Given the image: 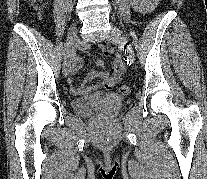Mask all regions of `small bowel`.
Listing matches in <instances>:
<instances>
[{
	"instance_id": "1",
	"label": "small bowel",
	"mask_w": 207,
	"mask_h": 179,
	"mask_svg": "<svg viewBox=\"0 0 207 179\" xmlns=\"http://www.w3.org/2000/svg\"><path fill=\"white\" fill-rule=\"evenodd\" d=\"M131 7L139 12L140 14L146 15L150 13L155 5L158 3L159 0H128ZM88 47V46H87ZM99 48L105 55H111L113 54V48L109 45L99 44ZM98 66H103L104 63L102 60L98 59L96 61ZM112 67L111 72L106 71H92L90 72L84 79L83 83L80 86H72L71 92L73 94H82L87 90V83L92 81L95 78L100 79V83L94 86L95 89H105V90H111L116 86L124 72H125V64L119 54H115L112 58ZM82 65V60L78 56H72L69 62V71L71 74H74L78 71V69ZM70 84L73 83V79L71 78L69 80Z\"/></svg>"
}]
</instances>
